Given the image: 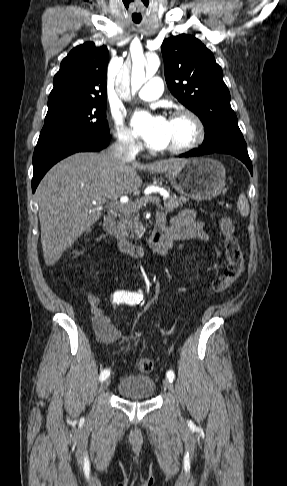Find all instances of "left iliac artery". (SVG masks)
Listing matches in <instances>:
<instances>
[{
    "instance_id": "obj_1",
    "label": "left iliac artery",
    "mask_w": 287,
    "mask_h": 486,
    "mask_svg": "<svg viewBox=\"0 0 287 486\" xmlns=\"http://www.w3.org/2000/svg\"><path fill=\"white\" fill-rule=\"evenodd\" d=\"M139 300V297H135L134 299H130V300H127L126 303L130 304V305H133V304H136V303H139L137 302ZM166 376L167 378L172 382L175 378V374L172 370H169L167 371L166 373Z\"/></svg>"
}]
</instances>
